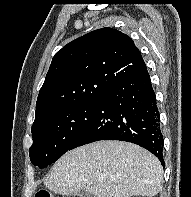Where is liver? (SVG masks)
<instances>
[{
	"mask_svg": "<svg viewBox=\"0 0 191 197\" xmlns=\"http://www.w3.org/2000/svg\"><path fill=\"white\" fill-rule=\"evenodd\" d=\"M160 161L129 142L104 140L65 153L44 178L50 191L94 197H154L161 189Z\"/></svg>",
	"mask_w": 191,
	"mask_h": 197,
	"instance_id": "1",
	"label": "liver"
}]
</instances>
